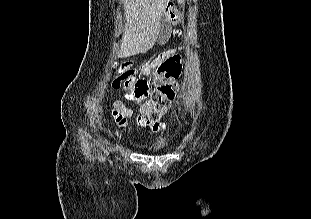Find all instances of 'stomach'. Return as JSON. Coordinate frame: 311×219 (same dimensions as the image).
I'll list each match as a JSON object with an SVG mask.
<instances>
[{
    "label": "stomach",
    "instance_id": "1",
    "mask_svg": "<svg viewBox=\"0 0 311 219\" xmlns=\"http://www.w3.org/2000/svg\"><path fill=\"white\" fill-rule=\"evenodd\" d=\"M165 18H166L169 22L176 23V22L179 20L180 16H179V14H177V13H175V14L167 13L166 16H165Z\"/></svg>",
    "mask_w": 311,
    "mask_h": 219
}]
</instances>
